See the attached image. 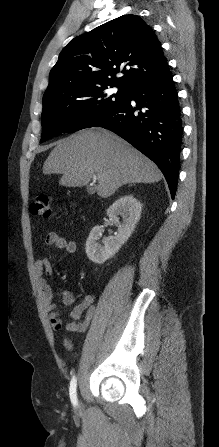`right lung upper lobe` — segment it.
Segmentation results:
<instances>
[{
    "label": "right lung upper lobe",
    "instance_id": "obj_1",
    "mask_svg": "<svg viewBox=\"0 0 219 447\" xmlns=\"http://www.w3.org/2000/svg\"><path fill=\"white\" fill-rule=\"evenodd\" d=\"M167 68L153 29L139 16L123 15L75 37L63 48L43 97L84 94L109 84L131 91ZM119 72L124 75L117 78Z\"/></svg>",
    "mask_w": 219,
    "mask_h": 447
}]
</instances>
